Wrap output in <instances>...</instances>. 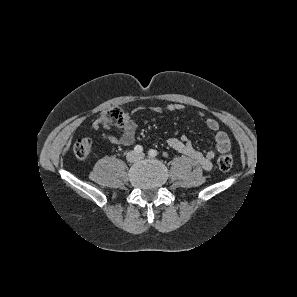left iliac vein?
Returning a JSON list of instances; mask_svg holds the SVG:
<instances>
[{"mask_svg": "<svg viewBox=\"0 0 297 297\" xmlns=\"http://www.w3.org/2000/svg\"><path fill=\"white\" fill-rule=\"evenodd\" d=\"M144 157H145V154L144 153H141V154L138 155V158H140V159H142Z\"/></svg>", "mask_w": 297, "mask_h": 297, "instance_id": "4c4485c4", "label": "left iliac vein"}]
</instances>
